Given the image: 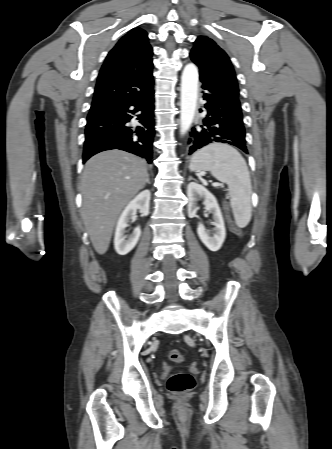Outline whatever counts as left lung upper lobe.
Segmentation results:
<instances>
[{"instance_id":"1","label":"left lung upper lobe","mask_w":332,"mask_h":449,"mask_svg":"<svg viewBox=\"0 0 332 449\" xmlns=\"http://www.w3.org/2000/svg\"><path fill=\"white\" fill-rule=\"evenodd\" d=\"M190 57L199 67L200 79L210 81L238 98L239 89L231 61L212 39L199 36Z\"/></svg>"}]
</instances>
